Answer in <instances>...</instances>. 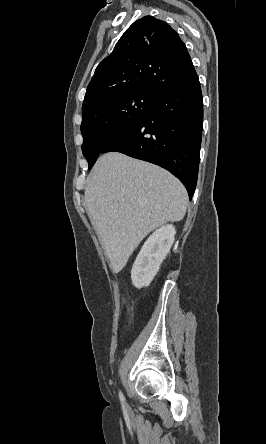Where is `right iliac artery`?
Instances as JSON below:
<instances>
[{
	"instance_id": "obj_1",
	"label": "right iliac artery",
	"mask_w": 266,
	"mask_h": 444,
	"mask_svg": "<svg viewBox=\"0 0 266 444\" xmlns=\"http://www.w3.org/2000/svg\"><path fill=\"white\" fill-rule=\"evenodd\" d=\"M119 398H120L121 403L124 404L125 403V398H124V396H123L121 391L119 393Z\"/></svg>"
}]
</instances>
